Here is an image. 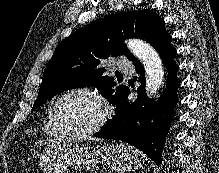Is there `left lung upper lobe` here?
<instances>
[{"label":"left lung upper lobe","mask_w":219,"mask_h":173,"mask_svg":"<svg viewBox=\"0 0 219 173\" xmlns=\"http://www.w3.org/2000/svg\"><path fill=\"white\" fill-rule=\"evenodd\" d=\"M140 37L154 48L169 36L164 20L152 10L120 12L101 18L65 38L55 49L44 73L32 110L56 94L80 87H96L114 106L128 88L114 89L113 77L103 76L101 61L126 55L137 60L127 49L124 39Z\"/></svg>","instance_id":"obj_1"}]
</instances>
